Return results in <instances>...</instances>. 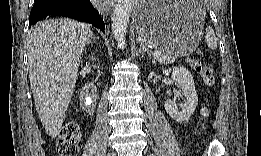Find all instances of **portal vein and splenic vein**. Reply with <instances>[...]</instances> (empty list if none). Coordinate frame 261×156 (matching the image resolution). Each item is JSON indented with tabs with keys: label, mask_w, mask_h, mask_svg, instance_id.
Returning <instances> with one entry per match:
<instances>
[{
	"label": "portal vein and splenic vein",
	"mask_w": 261,
	"mask_h": 156,
	"mask_svg": "<svg viewBox=\"0 0 261 156\" xmlns=\"http://www.w3.org/2000/svg\"><path fill=\"white\" fill-rule=\"evenodd\" d=\"M162 55V52L160 50H156L154 53H153V57L155 59H158L160 56Z\"/></svg>",
	"instance_id": "18ae733b"
}]
</instances>
